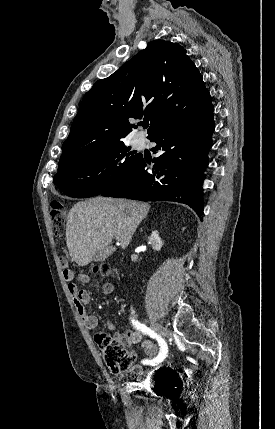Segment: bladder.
Masks as SVG:
<instances>
[{"label": "bladder", "instance_id": "bladder-1", "mask_svg": "<svg viewBox=\"0 0 275 429\" xmlns=\"http://www.w3.org/2000/svg\"><path fill=\"white\" fill-rule=\"evenodd\" d=\"M159 396H160L161 398H166V397L168 396V391H167L166 389H161V390L159 391Z\"/></svg>", "mask_w": 275, "mask_h": 429}]
</instances>
